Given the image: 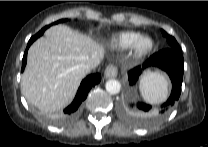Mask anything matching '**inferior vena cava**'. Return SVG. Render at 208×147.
<instances>
[{
  "instance_id": "inferior-vena-cava-1",
  "label": "inferior vena cava",
  "mask_w": 208,
  "mask_h": 147,
  "mask_svg": "<svg viewBox=\"0 0 208 147\" xmlns=\"http://www.w3.org/2000/svg\"><path fill=\"white\" fill-rule=\"evenodd\" d=\"M95 67H96V65L95 64H92V63H89V64L85 65V69H86L87 72L88 71H91Z\"/></svg>"
}]
</instances>
